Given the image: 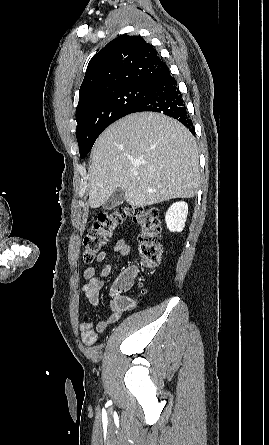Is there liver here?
I'll return each mask as SVG.
<instances>
[{
    "mask_svg": "<svg viewBox=\"0 0 269 445\" xmlns=\"http://www.w3.org/2000/svg\"><path fill=\"white\" fill-rule=\"evenodd\" d=\"M89 206L121 188L128 204L145 207L192 198L200 185L199 155L189 130L168 116L141 112L110 125L91 151Z\"/></svg>",
    "mask_w": 269,
    "mask_h": 445,
    "instance_id": "1",
    "label": "liver"
}]
</instances>
